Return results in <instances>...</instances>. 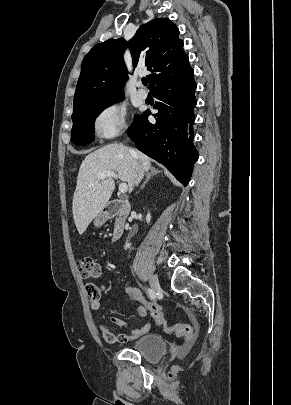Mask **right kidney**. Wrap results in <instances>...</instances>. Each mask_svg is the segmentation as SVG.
Returning a JSON list of instances; mask_svg holds the SVG:
<instances>
[{
    "label": "right kidney",
    "instance_id": "right-kidney-1",
    "mask_svg": "<svg viewBox=\"0 0 291 405\" xmlns=\"http://www.w3.org/2000/svg\"><path fill=\"white\" fill-rule=\"evenodd\" d=\"M150 220H151V215H150V213H148L147 216H146V222L150 223ZM130 246H131L130 243H126L124 248L128 249V248H130Z\"/></svg>",
    "mask_w": 291,
    "mask_h": 405
}]
</instances>
